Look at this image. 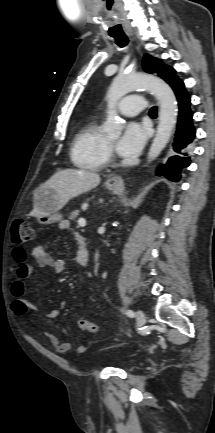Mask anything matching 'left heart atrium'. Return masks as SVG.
I'll list each match as a JSON object with an SVG mask.
<instances>
[{
  "instance_id": "left-heart-atrium-1",
  "label": "left heart atrium",
  "mask_w": 215,
  "mask_h": 433,
  "mask_svg": "<svg viewBox=\"0 0 215 433\" xmlns=\"http://www.w3.org/2000/svg\"><path fill=\"white\" fill-rule=\"evenodd\" d=\"M147 139V128L139 122L131 121L117 143V150L124 157H134L139 154Z\"/></svg>"
}]
</instances>
